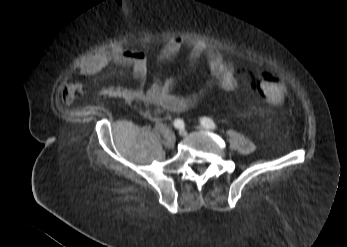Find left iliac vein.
Wrapping results in <instances>:
<instances>
[{
    "instance_id": "4c4485c4",
    "label": "left iliac vein",
    "mask_w": 347,
    "mask_h": 247,
    "mask_svg": "<svg viewBox=\"0 0 347 247\" xmlns=\"http://www.w3.org/2000/svg\"><path fill=\"white\" fill-rule=\"evenodd\" d=\"M199 130H205V128L203 126H198L197 127Z\"/></svg>"
}]
</instances>
